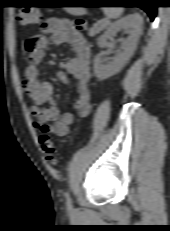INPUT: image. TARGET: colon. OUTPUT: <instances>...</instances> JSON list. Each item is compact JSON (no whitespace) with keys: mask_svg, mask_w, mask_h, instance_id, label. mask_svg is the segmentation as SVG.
<instances>
[{"mask_svg":"<svg viewBox=\"0 0 170 231\" xmlns=\"http://www.w3.org/2000/svg\"><path fill=\"white\" fill-rule=\"evenodd\" d=\"M41 16L38 10L34 8H22L19 12L18 19L22 25H31L39 22ZM77 26L80 29H84L86 27V22L82 19L77 20ZM37 46L36 40L34 38L26 39L24 43L25 50L28 52H32L35 50ZM40 146L46 157V159L55 164L56 163V145L53 140L47 135L43 134L40 137Z\"/></svg>","mask_w":170,"mask_h":231,"instance_id":"5ec220e1","label":"colon"}]
</instances>
